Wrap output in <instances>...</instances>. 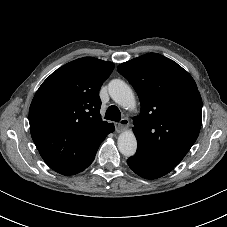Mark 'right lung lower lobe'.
Masks as SVG:
<instances>
[{
  "label": "right lung lower lobe",
  "instance_id": "obj_1",
  "mask_svg": "<svg viewBox=\"0 0 227 227\" xmlns=\"http://www.w3.org/2000/svg\"><path fill=\"white\" fill-rule=\"evenodd\" d=\"M113 130H114V127L112 128L111 132H113ZM93 160H94V159H93ZM93 160H92L91 162H89L86 166H84L79 172H81V171H83L84 169H86V168L93 162ZM79 172H77V173H79Z\"/></svg>",
  "mask_w": 227,
  "mask_h": 227
}]
</instances>
